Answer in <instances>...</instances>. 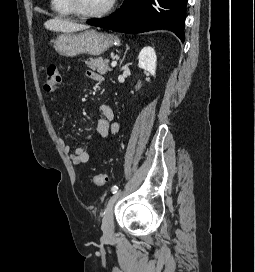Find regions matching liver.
<instances>
[{
  "mask_svg": "<svg viewBox=\"0 0 255 272\" xmlns=\"http://www.w3.org/2000/svg\"><path fill=\"white\" fill-rule=\"evenodd\" d=\"M46 29L56 32L72 33L87 29V25L77 24L63 18L49 19L44 23Z\"/></svg>",
  "mask_w": 255,
  "mask_h": 272,
  "instance_id": "obj_1",
  "label": "liver"
}]
</instances>
